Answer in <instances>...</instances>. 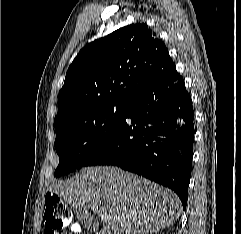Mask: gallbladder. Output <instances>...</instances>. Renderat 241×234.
<instances>
[{
  "label": "gallbladder",
  "mask_w": 241,
  "mask_h": 234,
  "mask_svg": "<svg viewBox=\"0 0 241 234\" xmlns=\"http://www.w3.org/2000/svg\"><path fill=\"white\" fill-rule=\"evenodd\" d=\"M76 212V215H77V218L85 224V226L88 228V229H92L93 226H92V220H91V216L88 212H86L85 210H78V211H75Z\"/></svg>",
  "instance_id": "1"
}]
</instances>
